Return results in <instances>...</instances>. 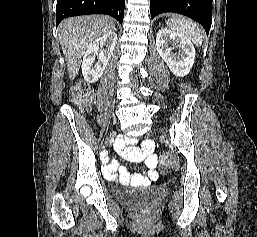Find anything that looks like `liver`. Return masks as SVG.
<instances>
[{"mask_svg":"<svg viewBox=\"0 0 257 237\" xmlns=\"http://www.w3.org/2000/svg\"><path fill=\"white\" fill-rule=\"evenodd\" d=\"M113 30V19L99 15L73 17L60 24L59 40L71 80L77 76L88 46L95 39Z\"/></svg>","mask_w":257,"mask_h":237,"instance_id":"obj_1","label":"liver"}]
</instances>
